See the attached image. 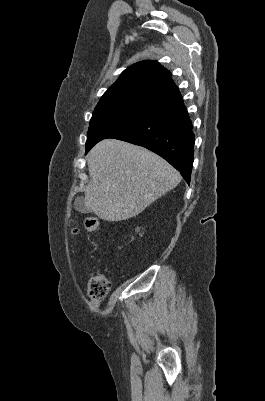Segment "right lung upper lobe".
<instances>
[{"mask_svg": "<svg viewBox=\"0 0 265 401\" xmlns=\"http://www.w3.org/2000/svg\"><path fill=\"white\" fill-rule=\"evenodd\" d=\"M182 99L171 74L156 61H141L124 70L97 106L145 101L162 106Z\"/></svg>", "mask_w": 265, "mask_h": 401, "instance_id": "1", "label": "right lung upper lobe"}]
</instances>
